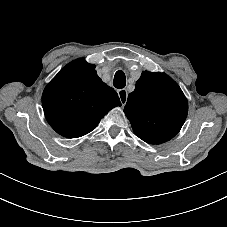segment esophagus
Listing matches in <instances>:
<instances>
[{"instance_id": "esophagus-1", "label": "esophagus", "mask_w": 227, "mask_h": 227, "mask_svg": "<svg viewBox=\"0 0 227 227\" xmlns=\"http://www.w3.org/2000/svg\"><path fill=\"white\" fill-rule=\"evenodd\" d=\"M118 96L120 98V102L122 104V107L125 106L126 102H127V98H128V92L126 89H119L117 90Z\"/></svg>"}]
</instances>
